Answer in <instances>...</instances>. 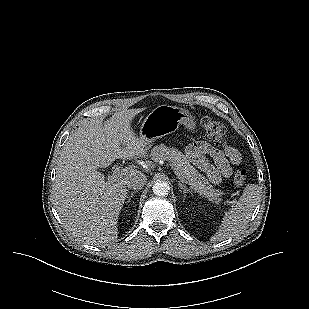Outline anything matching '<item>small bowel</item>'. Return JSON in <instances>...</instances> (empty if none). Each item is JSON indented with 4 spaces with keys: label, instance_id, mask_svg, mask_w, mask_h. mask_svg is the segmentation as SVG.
Wrapping results in <instances>:
<instances>
[{
    "label": "small bowel",
    "instance_id": "obj_1",
    "mask_svg": "<svg viewBox=\"0 0 309 309\" xmlns=\"http://www.w3.org/2000/svg\"><path fill=\"white\" fill-rule=\"evenodd\" d=\"M187 152L194 162H198L213 184H219L223 179L229 178L232 174V166L241 161V153L235 147L223 143L222 149H217L205 142H196L188 147ZM210 155L215 166L207 164L202 155Z\"/></svg>",
    "mask_w": 309,
    "mask_h": 309
}]
</instances>
